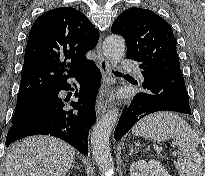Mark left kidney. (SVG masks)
Here are the masks:
<instances>
[{
    "label": "left kidney",
    "instance_id": "obj_1",
    "mask_svg": "<svg viewBox=\"0 0 205 176\" xmlns=\"http://www.w3.org/2000/svg\"><path fill=\"white\" fill-rule=\"evenodd\" d=\"M131 176H170L168 171L159 161L144 160L133 162L130 166Z\"/></svg>",
    "mask_w": 205,
    "mask_h": 176
}]
</instances>
